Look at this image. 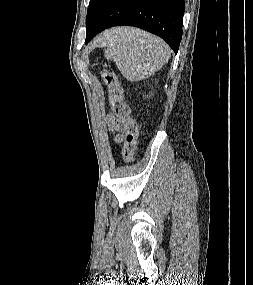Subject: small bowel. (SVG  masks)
<instances>
[{"mask_svg": "<svg viewBox=\"0 0 253 285\" xmlns=\"http://www.w3.org/2000/svg\"><path fill=\"white\" fill-rule=\"evenodd\" d=\"M108 124H109V127L110 129L113 131V132H124V123L121 122L120 120H118L116 117L110 115L108 117ZM115 140L116 141H120L121 140V136L118 134L116 137H115Z\"/></svg>", "mask_w": 253, "mask_h": 285, "instance_id": "small-bowel-1", "label": "small bowel"}]
</instances>
